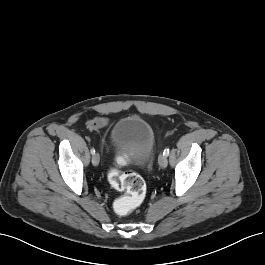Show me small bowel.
Here are the masks:
<instances>
[{
  "label": "small bowel",
  "mask_w": 265,
  "mask_h": 265,
  "mask_svg": "<svg viewBox=\"0 0 265 265\" xmlns=\"http://www.w3.org/2000/svg\"><path fill=\"white\" fill-rule=\"evenodd\" d=\"M107 124H108L107 118L97 117V118H94L88 122V127L91 130L97 131L99 129L106 127Z\"/></svg>",
  "instance_id": "1"
}]
</instances>
